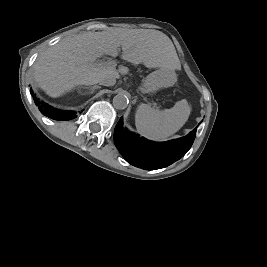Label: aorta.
Instances as JSON below:
<instances>
[{
    "instance_id": "1",
    "label": "aorta",
    "mask_w": 267,
    "mask_h": 267,
    "mask_svg": "<svg viewBox=\"0 0 267 267\" xmlns=\"http://www.w3.org/2000/svg\"><path fill=\"white\" fill-rule=\"evenodd\" d=\"M129 103V99L126 94L124 93H118L116 96L113 98V106L114 108L118 110H123L127 108Z\"/></svg>"
}]
</instances>
